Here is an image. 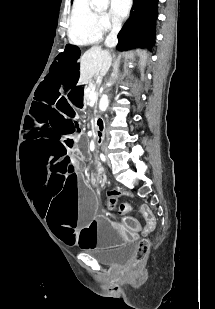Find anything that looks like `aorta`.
Listing matches in <instances>:
<instances>
[{
  "mask_svg": "<svg viewBox=\"0 0 215 309\" xmlns=\"http://www.w3.org/2000/svg\"><path fill=\"white\" fill-rule=\"evenodd\" d=\"M90 4H94V6L100 8V10H105L109 4V0H91ZM108 104L109 100L107 94H102L99 102L100 110H106Z\"/></svg>",
  "mask_w": 215,
  "mask_h": 309,
  "instance_id": "obj_1",
  "label": "aorta"
}]
</instances>
